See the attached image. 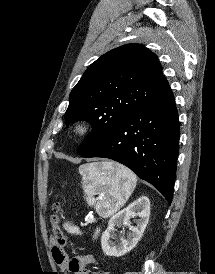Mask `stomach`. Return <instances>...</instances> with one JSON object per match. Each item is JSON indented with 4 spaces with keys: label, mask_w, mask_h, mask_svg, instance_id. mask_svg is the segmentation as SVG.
<instances>
[{
    "label": "stomach",
    "mask_w": 215,
    "mask_h": 274,
    "mask_svg": "<svg viewBox=\"0 0 215 274\" xmlns=\"http://www.w3.org/2000/svg\"><path fill=\"white\" fill-rule=\"evenodd\" d=\"M114 167L118 166L119 164L111 162Z\"/></svg>",
    "instance_id": "0dacf381"
}]
</instances>
